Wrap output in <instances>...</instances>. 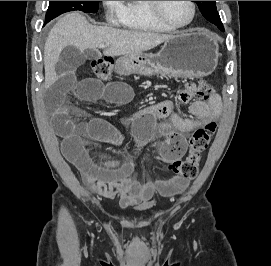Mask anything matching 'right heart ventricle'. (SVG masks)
<instances>
[{
	"label": "right heart ventricle",
	"instance_id": "right-heart-ventricle-1",
	"mask_svg": "<svg viewBox=\"0 0 271 266\" xmlns=\"http://www.w3.org/2000/svg\"><path fill=\"white\" fill-rule=\"evenodd\" d=\"M120 23L135 31L169 32L172 29L159 22L152 14L148 1H126L119 12Z\"/></svg>",
	"mask_w": 271,
	"mask_h": 266
}]
</instances>
